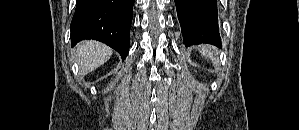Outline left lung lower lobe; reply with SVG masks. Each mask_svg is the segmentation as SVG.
<instances>
[{"label":"left lung lower lobe","mask_w":299,"mask_h":130,"mask_svg":"<svg viewBox=\"0 0 299 130\" xmlns=\"http://www.w3.org/2000/svg\"><path fill=\"white\" fill-rule=\"evenodd\" d=\"M186 46L209 43L221 47L217 0H175Z\"/></svg>","instance_id":"1"}]
</instances>
